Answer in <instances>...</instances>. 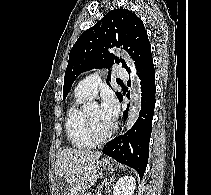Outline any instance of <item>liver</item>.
Returning a JSON list of instances; mask_svg holds the SVG:
<instances>
[{"label": "liver", "instance_id": "1", "mask_svg": "<svg viewBox=\"0 0 211 195\" xmlns=\"http://www.w3.org/2000/svg\"><path fill=\"white\" fill-rule=\"evenodd\" d=\"M101 152H94L84 149L66 148L61 151L55 163V175L63 178L69 186L68 195H79L90 188V175L96 170ZM57 195L64 194V191L57 190Z\"/></svg>", "mask_w": 211, "mask_h": 195}]
</instances>
